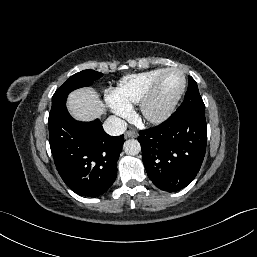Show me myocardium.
<instances>
[{"mask_svg":"<svg viewBox=\"0 0 257 257\" xmlns=\"http://www.w3.org/2000/svg\"><path fill=\"white\" fill-rule=\"evenodd\" d=\"M170 72H178L181 74L183 79L181 90L177 94V96L166 106H164L158 111H153L152 108H153L154 101L158 93L160 84L163 78L166 76V74ZM186 86H187V78L185 73L181 69L175 68V67L166 68L162 73H160L157 76V78L154 80L151 87L149 88V90L146 92V94L143 96V98L139 103V109H140V114L142 119L145 122L151 123V124H160L166 121L172 115L179 101L184 95Z\"/></svg>","mask_w":257,"mask_h":257,"instance_id":"1","label":"myocardium"}]
</instances>
